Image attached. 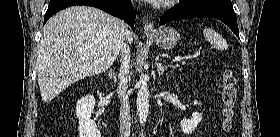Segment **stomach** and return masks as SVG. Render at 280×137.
Here are the masks:
<instances>
[{
    "mask_svg": "<svg viewBox=\"0 0 280 137\" xmlns=\"http://www.w3.org/2000/svg\"><path fill=\"white\" fill-rule=\"evenodd\" d=\"M147 36L163 49H171L177 45L180 40V34L172 27H160L153 33H147Z\"/></svg>",
    "mask_w": 280,
    "mask_h": 137,
    "instance_id": "stomach-1",
    "label": "stomach"
}]
</instances>
